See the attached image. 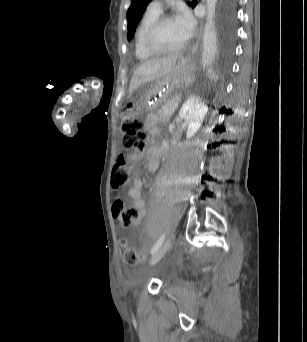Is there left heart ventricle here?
<instances>
[{
  "mask_svg": "<svg viewBox=\"0 0 307 342\" xmlns=\"http://www.w3.org/2000/svg\"><path fill=\"white\" fill-rule=\"evenodd\" d=\"M155 45L162 50H174L186 44L176 21L164 23L154 37Z\"/></svg>",
  "mask_w": 307,
  "mask_h": 342,
  "instance_id": "1",
  "label": "left heart ventricle"
}]
</instances>
